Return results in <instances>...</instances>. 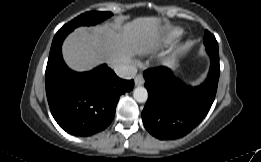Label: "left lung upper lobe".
<instances>
[{
  "label": "left lung upper lobe",
  "mask_w": 261,
  "mask_h": 162,
  "mask_svg": "<svg viewBox=\"0 0 261 162\" xmlns=\"http://www.w3.org/2000/svg\"><path fill=\"white\" fill-rule=\"evenodd\" d=\"M204 42L206 45L213 46V47H218V43L214 37L209 31H205V36H204Z\"/></svg>",
  "instance_id": "left-lung-upper-lobe-1"
}]
</instances>
